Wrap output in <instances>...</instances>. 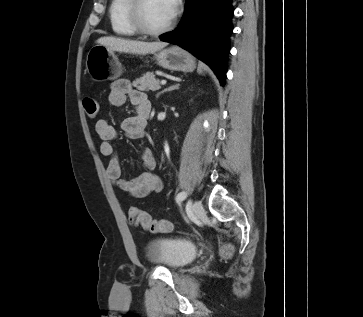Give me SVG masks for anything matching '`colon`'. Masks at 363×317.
Instances as JSON below:
<instances>
[{"label":"colon","instance_id":"colon-1","mask_svg":"<svg viewBox=\"0 0 363 317\" xmlns=\"http://www.w3.org/2000/svg\"><path fill=\"white\" fill-rule=\"evenodd\" d=\"M83 107L90 119L96 118L99 111V104L93 97H86L83 100ZM129 219L131 223L141 226L143 229L152 233H161L171 231L173 228L172 223L167 219H154L148 213L142 211L137 207L129 209ZM233 252V247L229 243H225L220 253L223 257H230Z\"/></svg>","mask_w":363,"mask_h":317}]
</instances>
